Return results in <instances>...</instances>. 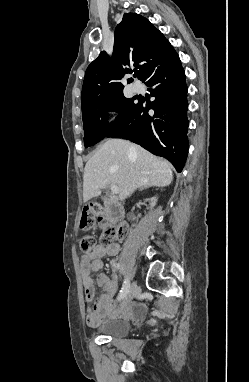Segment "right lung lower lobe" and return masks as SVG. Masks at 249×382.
Masks as SVG:
<instances>
[{
    "label": "right lung lower lobe",
    "instance_id": "98d812e1",
    "mask_svg": "<svg viewBox=\"0 0 249 382\" xmlns=\"http://www.w3.org/2000/svg\"><path fill=\"white\" fill-rule=\"evenodd\" d=\"M145 84L153 102L140 97L139 105L127 123L109 135L141 145L151 153L167 158L181 172L188 153L187 86L180 59L174 54L149 71ZM154 114H149V110Z\"/></svg>",
    "mask_w": 249,
    "mask_h": 382
}]
</instances>
